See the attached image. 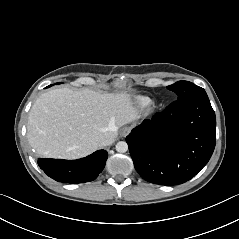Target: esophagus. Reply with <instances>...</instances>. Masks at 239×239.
I'll return each mask as SVG.
<instances>
[{
  "instance_id": "esophagus-1",
  "label": "esophagus",
  "mask_w": 239,
  "mask_h": 239,
  "mask_svg": "<svg viewBox=\"0 0 239 239\" xmlns=\"http://www.w3.org/2000/svg\"><path fill=\"white\" fill-rule=\"evenodd\" d=\"M131 129L130 126L124 127L121 131V136L126 137L131 132Z\"/></svg>"
}]
</instances>
